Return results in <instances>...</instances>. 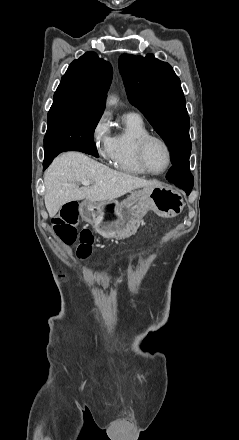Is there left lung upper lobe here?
<instances>
[{"mask_svg": "<svg viewBox=\"0 0 239 440\" xmlns=\"http://www.w3.org/2000/svg\"><path fill=\"white\" fill-rule=\"evenodd\" d=\"M119 70L129 101L152 124L172 153V163L189 160L190 120L180 80L172 67L154 57L122 54Z\"/></svg>", "mask_w": 239, "mask_h": 440, "instance_id": "5c2ea615", "label": "left lung upper lobe"}]
</instances>
